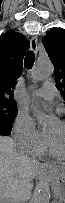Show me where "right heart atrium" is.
<instances>
[{"instance_id":"obj_1","label":"right heart atrium","mask_w":65,"mask_h":203,"mask_svg":"<svg viewBox=\"0 0 65 203\" xmlns=\"http://www.w3.org/2000/svg\"><path fill=\"white\" fill-rule=\"evenodd\" d=\"M13 136L17 147L27 153H31L43 144L46 139L36 129L32 119L26 113H19L13 127Z\"/></svg>"}]
</instances>
